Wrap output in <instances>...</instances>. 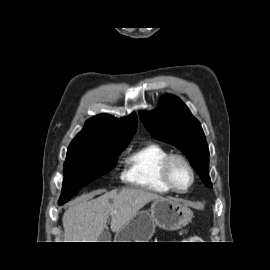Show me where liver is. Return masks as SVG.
I'll return each mask as SVG.
<instances>
[{
    "mask_svg": "<svg viewBox=\"0 0 270 270\" xmlns=\"http://www.w3.org/2000/svg\"><path fill=\"white\" fill-rule=\"evenodd\" d=\"M83 196L78 203L69 207L63 215L65 242H99V236L111 217L113 232L122 229L150 201L161 196L144 189L122 188Z\"/></svg>",
    "mask_w": 270,
    "mask_h": 270,
    "instance_id": "obj_1",
    "label": "liver"
}]
</instances>
